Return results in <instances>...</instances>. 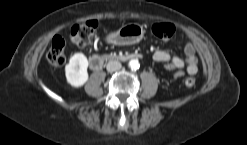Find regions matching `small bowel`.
<instances>
[{
  "label": "small bowel",
  "instance_id": "c3829d8e",
  "mask_svg": "<svg viewBox=\"0 0 247 145\" xmlns=\"http://www.w3.org/2000/svg\"><path fill=\"white\" fill-rule=\"evenodd\" d=\"M152 58L156 62L165 63L168 70L182 69L186 66L188 74H196L198 72L196 50L193 44L188 43L184 47V58L172 55L163 50H157L153 53Z\"/></svg>",
  "mask_w": 247,
  "mask_h": 145
}]
</instances>
